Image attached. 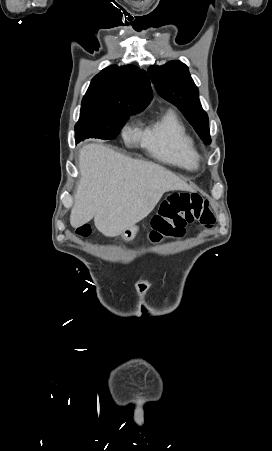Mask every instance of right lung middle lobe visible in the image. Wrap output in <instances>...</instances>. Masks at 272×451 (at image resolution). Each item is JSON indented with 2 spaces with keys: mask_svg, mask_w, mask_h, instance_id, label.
Returning <instances> with one entry per match:
<instances>
[{
  "mask_svg": "<svg viewBox=\"0 0 272 451\" xmlns=\"http://www.w3.org/2000/svg\"><path fill=\"white\" fill-rule=\"evenodd\" d=\"M144 108L81 107L80 118L75 125L76 143L86 138L114 139L132 114Z\"/></svg>",
  "mask_w": 272,
  "mask_h": 451,
  "instance_id": "dd1d6c3e",
  "label": "right lung middle lobe"
}]
</instances>
